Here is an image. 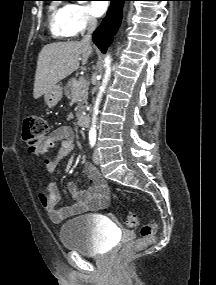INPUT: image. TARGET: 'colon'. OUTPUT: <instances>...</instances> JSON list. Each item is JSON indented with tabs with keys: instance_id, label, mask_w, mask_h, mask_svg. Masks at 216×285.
<instances>
[{
	"instance_id": "colon-1",
	"label": "colon",
	"mask_w": 216,
	"mask_h": 285,
	"mask_svg": "<svg viewBox=\"0 0 216 285\" xmlns=\"http://www.w3.org/2000/svg\"><path fill=\"white\" fill-rule=\"evenodd\" d=\"M48 123L41 116H29L23 122L22 138L28 147L29 153L33 155L40 154L41 145L48 134ZM139 224V217L135 213H131L126 218V226L135 228ZM158 225L155 221H151L140 230V237L136 240L127 242L121 249L118 256L119 261H123L135 252L151 245L154 242Z\"/></svg>"
}]
</instances>
